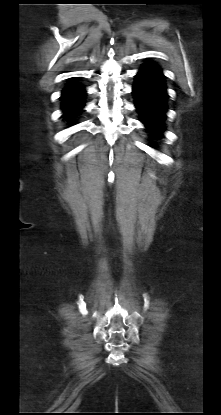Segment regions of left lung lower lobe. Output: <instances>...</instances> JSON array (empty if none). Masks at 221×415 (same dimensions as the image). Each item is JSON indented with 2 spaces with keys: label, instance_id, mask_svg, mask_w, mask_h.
Returning <instances> with one entry per match:
<instances>
[{
  "label": "left lung lower lobe",
  "instance_id": "1",
  "mask_svg": "<svg viewBox=\"0 0 221 415\" xmlns=\"http://www.w3.org/2000/svg\"><path fill=\"white\" fill-rule=\"evenodd\" d=\"M165 77L158 65L146 62L135 76L133 95L140 121L152 138L162 137L167 107Z\"/></svg>",
  "mask_w": 221,
  "mask_h": 415
}]
</instances>
